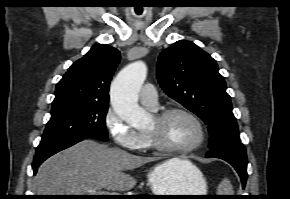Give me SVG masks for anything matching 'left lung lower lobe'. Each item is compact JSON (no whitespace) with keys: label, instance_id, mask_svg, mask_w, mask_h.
Segmentation results:
<instances>
[{"label":"left lung lower lobe","instance_id":"1","mask_svg":"<svg viewBox=\"0 0 290 199\" xmlns=\"http://www.w3.org/2000/svg\"><path fill=\"white\" fill-rule=\"evenodd\" d=\"M206 157L220 158L230 163L238 172L242 181V186H245L247 180V155L242 143L228 144L220 148L211 149L206 154Z\"/></svg>","mask_w":290,"mask_h":199}]
</instances>
